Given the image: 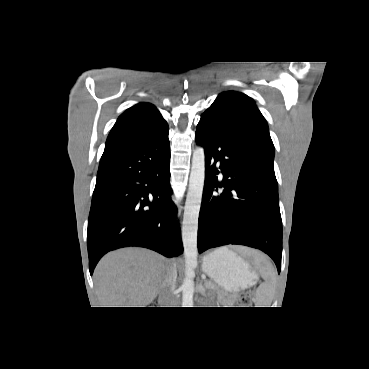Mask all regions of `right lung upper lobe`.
<instances>
[{"instance_id":"cb5924a9","label":"right lung upper lobe","mask_w":369,"mask_h":369,"mask_svg":"<svg viewBox=\"0 0 369 369\" xmlns=\"http://www.w3.org/2000/svg\"><path fill=\"white\" fill-rule=\"evenodd\" d=\"M168 129L167 122L153 105L136 104L119 116L107 138L102 156L159 137Z\"/></svg>"}]
</instances>
